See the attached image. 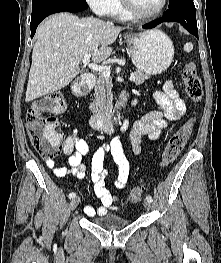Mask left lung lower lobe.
Listing matches in <instances>:
<instances>
[{"label": "left lung lower lobe", "instance_id": "1", "mask_svg": "<svg viewBox=\"0 0 221 263\" xmlns=\"http://www.w3.org/2000/svg\"><path fill=\"white\" fill-rule=\"evenodd\" d=\"M162 22H178L198 38L196 10L193 0L170 2L169 9L161 18L143 25L142 28L151 29Z\"/></svg>", "mask_w": 221, "mask_h": 263}]
</instances>
